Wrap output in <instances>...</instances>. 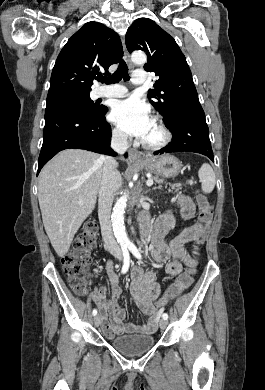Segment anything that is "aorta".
<instances>
[{"label":"aorta","instance_id":"obj_1","mask_svg":"<svg viewBox=\"0 0 265 390\" xmlns=\"http://www.w3.org/2000/svg\"><path fill=\"white\" fill-rule=\"evenodd\" d=\"M131 60L133 63L137 65H142L146 62L147 57L142 52H134L131 56ZM126 206H127V194H124L117 200L113 208V213L111 217L114 235L118 243L123 247H128L129 245H131V242L126 234V229L124 224V213H125Z\"/></svg>","mask_w":265,"mask_h":390}]
</instances>
